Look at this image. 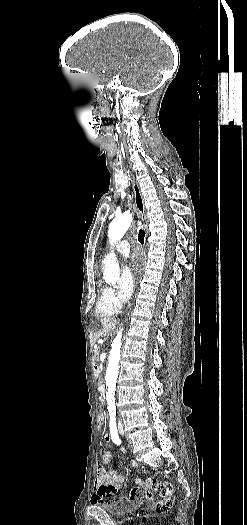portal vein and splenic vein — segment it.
<instances>
[{"mask_svg": "<svg viewBox=\"0 0 247 525\" xmlns=\"http://www.w3.org/2000/svg\"><path fill=\"white\" fill-rule=\"evenodd\" d=\"M99 368H100V370H103V365H102V363H99Z\"/></svg>", "mask_w": 247, "mask_h": 525, "instance_id": "18ae733b", "label": "portal vein and splenic vein"}]
</instances>
